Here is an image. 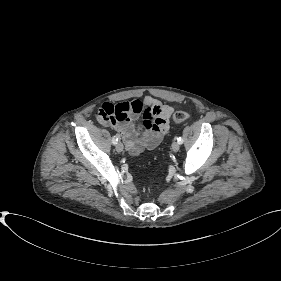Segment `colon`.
<instances>
[{
  "instance_id": "5ec220e1",
  "label": "colon",
  "mask_w": 281,
  "mask_h": 281,
  "mask_svg": "<svg viewBox=\"0 0 281 281\" xmlns=\"http://www.w3.org/2000/svg\"><path fill=\"white\" fill-rule=\"evenodd\" d=\"M139 108L138 102H135L132 109L137 111ZM129 112L130 105L128 103H120L117 105L106 103L99 109L98 117L104 121L120 122L128 116ZM172 117L175 123H184L189 120V114L184 111H176Z\"/></svg>"
}]
</instances>
